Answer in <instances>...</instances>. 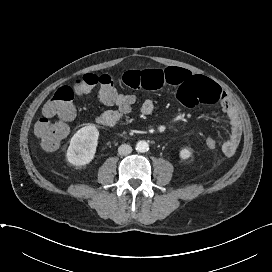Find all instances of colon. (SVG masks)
<instances>
[{
  "label": "colon",
  "mask_w": 272,
  "mask_h": 272,
  "mask_svg": "<svg viewBox=\"0 0 272 272\" xmlns=\"http://www.w3.org/2000/svg\"><path fill=\"white\" fill-rule=\"evenodd\" d=\"M95 88H98L99 100L105 105L130 112L136 102L134 95L119 92L112 77L106 74H85L77 78L71 86L58 88L44 105L43 117L35 125V134L45 150L56 149L67 136L68 122L75 115V95L89 96ZM54 117L58 119L53 120ZM205 144L211 150L217 148L214 138H207Z\"/></svg>",
  "instance_id": "colon-1"
}]
</instances>
